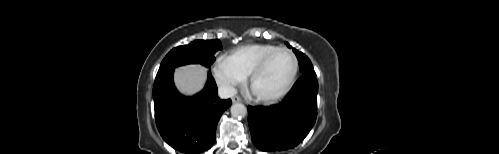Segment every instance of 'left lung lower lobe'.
I'll use <instances>...</instances> for the list:
<instances>
[{"instance_id": "obj_1", "label": "left lung lower lobe", "mask_w": 499, "mask_h": 154, "mask_svg": "<svg viewBox=\"0 0 499 154\" xmlns=\"http://www.w3.org/2000/svg\"><path fill=\"white\" fill-rule=\"evenodd\" d=\"M318 81L302 75L282 102L270 107H248L254 145L262 151H282L298 145L317 117Z\"/></svg>"}]
</instances>
